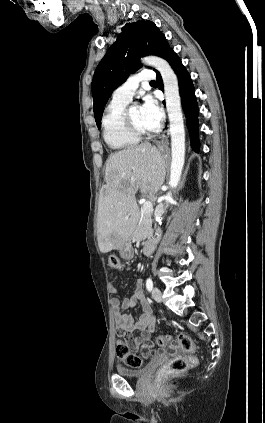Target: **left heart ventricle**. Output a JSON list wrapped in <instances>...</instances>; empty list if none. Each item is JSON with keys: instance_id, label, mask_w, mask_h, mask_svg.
<instances>
[{"instance_id": "1", "label": "left heart ventricle", "mask_w": 265, "mask_h": 423, "mask_svg": "<svg viewBox=\"0 0 265 423\" xmlns=\"http://www.w3.org/2000/svg\"><path fill=\"white\" fill-rule=\"evenodd\" d=\"M130 117L134 124L141 130H151L152 128L143 119L140 107H132L130 109Z\"/></svg>"}]
</instances>
